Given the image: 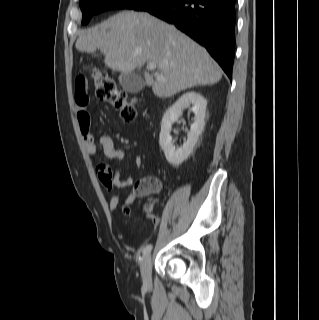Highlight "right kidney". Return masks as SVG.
<instances>
[{
	"label": "right kidney",
	"instance_id": "obj_1",
	"mask_svg": "<svg viewBox=\"0 0 319 320\" xmlns=\"http://www.w3.org/2000/svg\"><path fill=\"white\" fill-rule=\"evenodd\" d=\"M190 104L192 105V111L195 115L194 123L191 125L190 131L187 134L186 142L181 147L176 148L170 135L171 126L181 116L183 108ZM206 106V99L199 93L191 91L183 94L165 112L161 122L159 143L170 164L179 166L192 153L199 136L204 130Z\"/></svg>",
	"mask_w": 319,
	"mask_h": 320
}]
</instances>
